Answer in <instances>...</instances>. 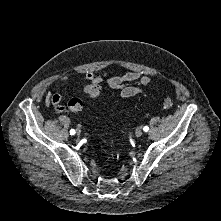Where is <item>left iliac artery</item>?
<instances>
[{"mask_svg":"<svg viewBox=\"0 0 221 221\" xmlns=\"http://www.w3.org/2000/svg\"><path fill=\"white\" fill-rule=\"evenodd\" d=\"M143 130H144L145 132H147V131L149 130V127H148V126H145V127L143 128Z\"/></svg>","mask_w":221,"mask_h":221,"instance_id":"1","label":"left iliac artery"}]
</instances>
